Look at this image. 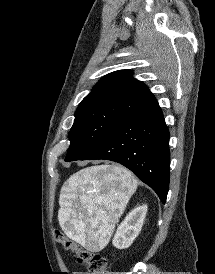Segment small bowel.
<instances>
[{
	"instance_id": "c3829d8e",
	"label": "small bowel",
	"mask_w": 215,
	"mask_h": 274,
	"mask_svg": "<svg viewBox=\"0 0 215 274\" xmlns=\"http://www.w3.org/2000/svg\"><path fill=\"white\" fill-rule=\"evenodd\" d=\"M74 274H87V273L75 272Z\"/></svg>"
}]
</instances>
